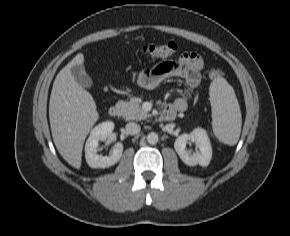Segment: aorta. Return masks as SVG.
Here are the masks:
<instances>
[{
	"label": "aorta",
	"mask_w": 290,
	"mask_h": 236,
	"mask_svg": "<svg viewBox=\"0 0 290 236\" xmlns=\"http://www.w3.org/2000/svg\"><path fill=\"white\" fill-rule=\"evenodd\" d=\"M158 134L155 133V132H150L148 135H147V141L149 144H156L158 142Z\"/></svg>",
	"instance_id": "762f6f07"
}]
</instances>
